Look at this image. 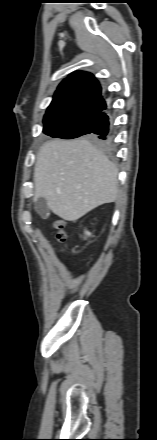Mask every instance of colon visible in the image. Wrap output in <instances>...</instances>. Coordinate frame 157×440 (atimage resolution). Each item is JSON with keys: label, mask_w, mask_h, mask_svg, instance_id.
I'll use <instances>...</instances> for the list:
<instances>
[{"label": "colon", "mask_w": 157, "mask_h": 440, "mask_svg": "<svg viewBox=\"0 0 157 440\" xmlns=\"http://www.w3.org/2000/svg\"><path fill=\"white\" fill-rule=\"evenodd\" d=\"M54 227L56 228V238L58 241L62 242L66 239V233L64 231V222L63 221H56L54 223Z\"/></svg>", "instance_id": "colon-1"}]
</instances>
